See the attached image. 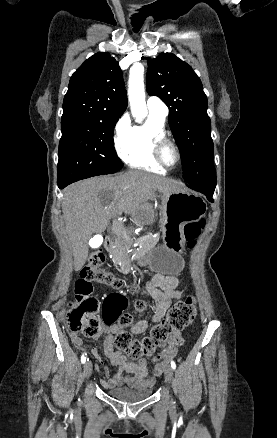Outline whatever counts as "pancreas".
Returning a JSON list of instances; mask_svg holds the SVG:
<instances>
[{
  "label": "pancreas",
  "mask_w": 277,
  "mask_h": 438,
  "mask_svg": "<svg viewBox=\"0 0 277 438\" xmlns=\"http://www.w3.org/2000/svg\"><path fill=\"white\" fill-rule=\"evenodd\" d=\"M107 238L104 244L107 246L106 253H114L110 258L113 268L116 265L130 267V253H149L153 245L158 244L160 240L155 231H109ZM136 239L139 244L133 241Z\"/></svg>",
  "instance_id": "obj_1"
}]
</instances>
